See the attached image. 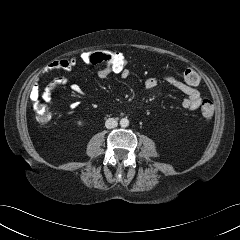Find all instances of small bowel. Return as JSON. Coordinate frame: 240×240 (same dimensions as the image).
<instances>
[{
  "label": "small bowel",
  "instance_id": "c3829d8e",
  "mask_svg": "<svg viewBox=\"0 0 240 240\" xmlns=\"http://www.w3.org/2000/svg\"><path fill=\"white\" fill-rule=\"evenodd\" d=\"M78 64V59L76 57H71L67 59H60L54 61L50 64L51 70H60L63 71L64 74L59 75L55 80H53L49 85H47L42 91H40L38 85H34L31 93L30 98L33 101H36L38 98H42L43 101L46 103H51L53 101V92L59 86L69 85V78L67 77L66 73L70 72L73 68L76 67ZM116 73L119 74L121 78H127L129 75L128 71L122 72H114L110 68L107 67H99L98 69V77L104 79L109 75ZM164 81L174 87L175 89L181 91L186 95L184 100L182 101V107L187 110H196L198 109L203 99L200 95L199 90L195 86H190L185 84L183 81L179 80L177 77L172 75H165ZM158 85V80L155 77H148L145 80V87L149 90L156 88ZM70 88L76 94H82V88L80 85L76 83L70 84ZM78 106V102H72L70 107L75 109Z\"/></svg>",
  "mask_w": 240,
  "mask_h": 240
}]
</instances>
